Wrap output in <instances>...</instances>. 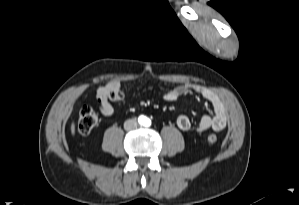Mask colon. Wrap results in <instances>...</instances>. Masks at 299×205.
<instances>
[{"label":"colon","mask_w":299,"mask_h":205,"mask_svg":"<svg viewBox=\"0 0 299 205\" xmlns=\"http://www.w3.org/2000/svg\"><path fill=\"white\" fill-rule=\"evenodd\" d=\"M123 98V93L121 90L113 91L107 96V100L111 103H117ZM98 122V117L95 111L89 106H83L79 113V119L77 124V130L81 135H88L92 132ZM208 141L211 144L217 142V136L215 134H210L208 136Z\"/></svg>","instance_id":"1"}]
</instances>
